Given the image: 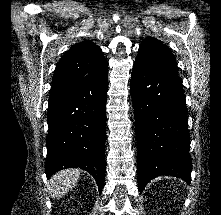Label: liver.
<instances>
[{
  "instance_id": "liver-1",
  "label": "liver",
  "mask_w": 221,
  "mask_h": 215,
  "mask_svg": "<svg viewBox=\"0 0 221 215\" xmlns=\"http://www.w3.org/2000/svg\"><path fill=\"white\" fill-rule=\"evenodd\" d=\"M81 171L79 169L61 170L49 181V192L53 198H61L78 182Z\"/></svg>"
}]
</instances>
